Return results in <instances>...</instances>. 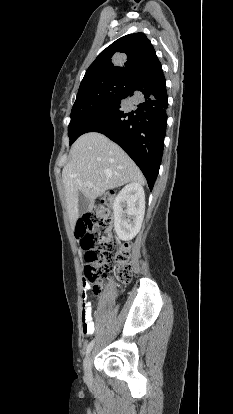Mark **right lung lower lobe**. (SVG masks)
Wrapping results in <instances>:
<instances>
[{"mask_svg": "<svg viewBox=\"0 0 233 414\" xmlns=\"http://www.w3.org/2000/svg\"><path fill=\"white\" fill-rule=\"evenodd\" d=\"M131 82L125 94L88 117L78 135L99 132L116 142L139 166L152 190L167 125L166 82L163 71Z\"/></svg>", "mask_w": 233, "mask_h": 414, "instance_id": "right-lung-lower-lobe-1", "label": "right lung lower lobe"}]
</instances>
